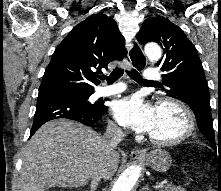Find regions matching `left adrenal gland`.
Instances as JSON below:
<instances>
[{"label":"left adrenal gland","mask_w":221,"mask_h":191,"mask_svg":"<svg viewBox=\"0 0 221 191\" xmlns=\"http://www.w3.org/2000/svg\"><path fill=\"white\" fill-rule=\"evenodd\" d=\"M150 191L148 184H146L144 187H142V189H140V191Z\"/></svg>","instance_id":"obj_1"}]
</instances>
